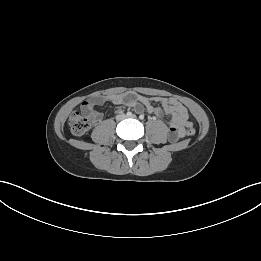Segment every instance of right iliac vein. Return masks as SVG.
I'll list each match as a JSON object with an SVG mask.
<instances>
[{"label": "right iliac vein", "instance_id": "obj_1", "mask_svg": "<svg viewBox=\"0 0 261 261\" xmlns=\"http://www.w3.org/2000/svg\"><path fill=\"white\" fill-rule=\"evenodd\" d=\"M123 118H124V115H119V116H118V119H119V120H121V119H123Z\"/></svg>", "mask_w": 261, "mask_h": 261}]
</instances>
